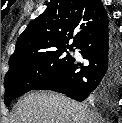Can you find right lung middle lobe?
I'll use <instances>...</instances> for the list:
<instances>
[{
	"mask_svg": "<svg viewBox=\"0 0 122 123\" xmlns=\"http://www.w3.org/2000/svg\"><path fill=\"white\" fill-rule=\"evenodd\" d=\"M69 50L73 51V49ZM64 52L67 51L43 53L9 65V71L4 80L6 106H9L13 99L35 89L65 70L74 61V58L68 52L65 57L62 56Z\"/></svg>",
	"mask_w": 122,
	"mask_h": 123,
	"instance_id": "right-lung-middle-lobe-1",
	"label": "right lung middle lobe"
}]
</instances>
